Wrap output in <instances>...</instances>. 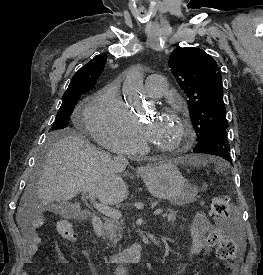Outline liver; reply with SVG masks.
<instances>
[{
  "label": "liver",
  "instance_id": "1",
  "mask_svg": "<svg viewBox=\"0 0 263 275\" xmlns=\"http://www.w3.org/2000/svg\"><path fill=\"white\" fill-rule=\"evenodd\" d=\"M177 162L199 160L185 156ZM125 167L75 132L56 134L47 150L36 190L28 186L21 198L16 215L18 224L22 226L27 213H38L53 201H68L84 191L93 192L105 205L121 203L128 196V188L119 175Z\"/></svg>",
  "mask_w": 263,
  "mask_h": 275
}]
</instances>
